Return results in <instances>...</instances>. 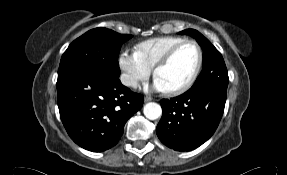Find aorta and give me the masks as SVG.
<instances>
[{"instance_id":"obj_1","label":"aorta","mask_w":287,"mask_h":175,"mask_svg":"<svg viewBox=\"0 0 287 175\" xmlns=\"http://www.w3.org/2000/svg\"><path fill=\"white\" fill-rule=\"evenodd\" d=\"M144 115L150 120L158 119L162 114L161 106L155 102H149L144 106Z\"/></svg>"}]
</instances>
